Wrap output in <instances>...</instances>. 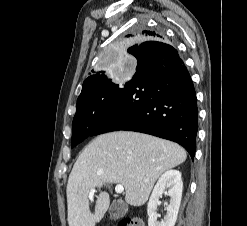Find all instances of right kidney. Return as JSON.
Listing matches in <instances>:
<instances>
[{
	"label": "right kidney",
	"instance_id": "ca27d5eb",
	"mask_svg": "<svg viewBox=\"0 0 247 226\" xmlns=\"http://www.w3.org/2000/svg\"><path fill=\"white\" fill-rule=\"evenodd\" d=\"M168 189L167 195L170 197V204L166 206L165 217L157 221V207L160 203L164 191ZM183 182L181 173L177 170L166 171L155 185L148 202V226H174L177 220L178 211L182 198Z\"/></svg>",
	"mask_w": 247,
	"mask_h": 226
}]
</instances>
